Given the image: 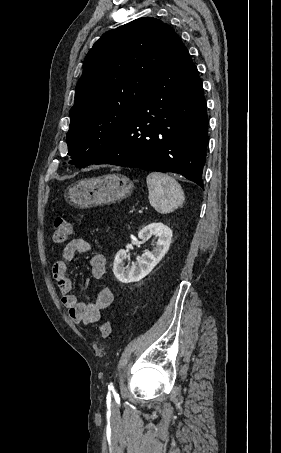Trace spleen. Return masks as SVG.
<instances>
[{
  "mask_svg": "<svg viewBox=\"0 0 281 453\" xmlns=\"http://www.w3.org/2000/svg\"><path fill=\"white\" fill-rule=\"evenodd\" d=\"M146 180L149 202L157 212L165 214L181 206L184 198L179 194L181 186L175 178L163 172H150Z\"/></svg>",
  "mask_w": 281,
  "mask_h": 453,
  "instance_id": "1",
  "label": "spleen"
}]
</instances>
